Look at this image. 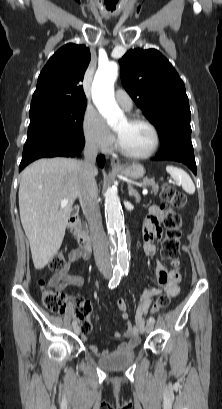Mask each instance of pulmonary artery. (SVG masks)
Returning a JSON list of instances; mask_svg holds the SVG:
<instances>
[{
  "label": "pulmonary artery",
  "mask_w": 222,
  "mask_h": 409,
  "mask_svg": "<svg viewBox=\"0 0 222 409\" xmlns=\"http://www.w3.org/2000/svg\"><path fill=\"white\" fill-rule=\"evenodd\" d=\"M115 98L117 103L126 111L132 109L133 103L130 95L122 88H118L115 91Z\"/></svg>",
  "instance_id": "obj_1"
}]
</instances>
